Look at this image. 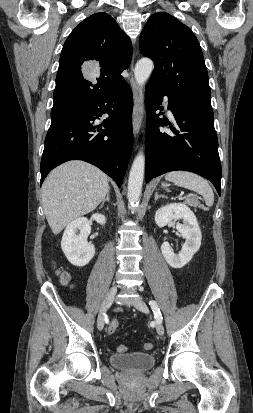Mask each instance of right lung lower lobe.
Returning a JSON list of instances; mask_svg holds the SVG:
<instances>
[{
	"instance_id": "98d812e1",
	"label": "right lung lower lobe",
	"mask_w": 253,
	"mask_h": 413,
	"mask_svg": "<svg viewBox=\"0 0 253 413\" xmlns=\"http://www.w3.org/2000/svg\"><path fill=\"white\" fill-rule=\"evenodd\" d=\"M132 92L126 81L79 109L54 119L45 138L41 184L56 166L69 160L89 162L120 187L133 146ZM107 113L103 126L94 120Z\"/></svg>"
}]
</instances>
